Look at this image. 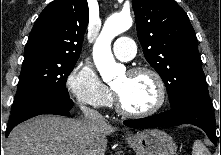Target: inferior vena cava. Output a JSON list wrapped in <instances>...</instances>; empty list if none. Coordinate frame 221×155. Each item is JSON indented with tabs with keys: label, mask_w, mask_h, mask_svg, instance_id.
Instances as JSON below:
<instances>
[{
	"label": "inferior vena cava",
	"mask_w": 221,
	"mask_h": 155,
	"mask_svg": "<svg viewBox=\"0 0 221 155\" xmlns=\"http://www.w3.org/2000/svg\"><path fill=\"white\" fill-rule=\"evenodd\" d=\"M81 110L84 114L85 119L89 122L90 125H94L98 122L104 121L103 116L96 110L82 106Z\"/></svg>",
	"instance_id": "602c4592"
}]
</instances>
